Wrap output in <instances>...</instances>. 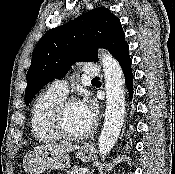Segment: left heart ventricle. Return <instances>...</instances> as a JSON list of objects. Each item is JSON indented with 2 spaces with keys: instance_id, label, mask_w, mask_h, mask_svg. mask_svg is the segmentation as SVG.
Instances as JSON below:
<instances>
[{
  "instance_id": "obj_1",
  "label": "left heart ventricle",
  "mask_w": 175,
  "mask_h": 174,
  "mask_svg": "<svg viewBox=\"0 0 175 174\" xmlns=\"http://www.w3.org/2000/svg\"><path fill=\"white\" fill-rule=\"evenodd\" d=\"M63 124L66 131L71 134L83 133L91 126L80 103H74L67 107L63 116Z\"/></svg>"
}]
</instances>
